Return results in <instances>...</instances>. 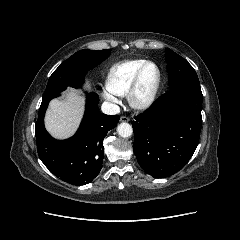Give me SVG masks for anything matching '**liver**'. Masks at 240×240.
Here are the masks:
<instances>
[{
    "label": "liver",
    "instance_id": "6515ba94",
    "mask_svg": "<svg viewBox=\"0 0 240 240\" xmlns=\"http://www.w3.org/2000/svg\"><path fill=\"white\" fill-rule=\"evenodd\" d=\"M89 88V84L86 85ZM84 111V99L69 88L63 99L50 102L45 116V127L56 139L71 137L77 130Z\"/></svg>",
    "mask_w": 240,
    "mask_h": 240
}]
</instances>
